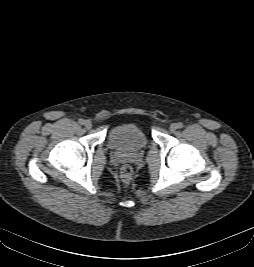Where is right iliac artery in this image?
I'll list each match as a JSON object with an SVG mask.
<instances>
[{"label":"right iliac artery","instance_id":"obj_1","mask_svg":"<svg viewBox=\"0 0 254 267\" xmlns=\"http://www.w3.org/2000/svg\"><path fill=\"white\" fill-rule=\"evenodd\" d=\"M81 125H83L84 124V122H85V120H83V119H79V121H78Z\"/></svg>","mask_w":254,"mask_h":267}]
</instances>
